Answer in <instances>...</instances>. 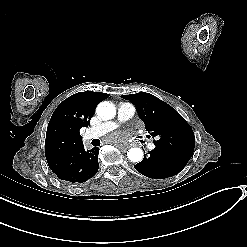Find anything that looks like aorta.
Returning <instances> with one entry per match:
<instances>
[{
	"mask_svg": "<svg viewBox=\"0 0 247 247\" xmlns=\"http://www.w3.org/2000/svg\"><path fill=\"white\" fill-rule=\"evenodd\" d=\"M96 113L102 120H110L115 117V106L109 101H103L98 104ZM127 157L132 162H141L143 159V151L140 148H131L127 152Z\"/></svg>",
	"mask_w": 247,
	"mask_h": 247,
	"instance_id": "obj_1",
	"label": "aorta"
}]
</instances>
